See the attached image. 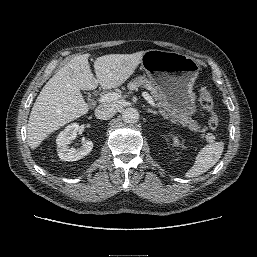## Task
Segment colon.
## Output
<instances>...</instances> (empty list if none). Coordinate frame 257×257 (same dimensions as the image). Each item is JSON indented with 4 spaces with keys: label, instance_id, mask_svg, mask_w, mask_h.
<instances>
[{
    "label": "colon",
    "instance_id": "colon-1",
    "mask_svg": "<svg viewBox=\"0 0 257 257\" xmlns=\"http://www.w3.org/2000/svg\"><path fill=\"white\" fill-rule=\"evenodd\" d=\"M200 105L209 112L208 125L211 129H216L219 125V118L214 111L213 97L206 87H202L199 91Z\"/></svg>",
    "mask_w": 257,
    "mask_h": 257
}]
</instances>
